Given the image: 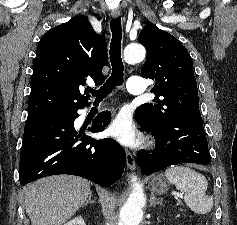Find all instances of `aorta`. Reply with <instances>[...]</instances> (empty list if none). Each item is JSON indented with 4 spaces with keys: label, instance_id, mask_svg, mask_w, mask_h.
I'll list each match as a JSON object with an SVG mask.
<instances>
[{
    "label": "aorta",
    "instance_id": "762f6f07",
    "mask_svg": "<svg viewBox=\"0 0 237 225\" xmlns=\"http://www.w3.org/2000/svg\"><path fill=\"white\" fill-rule=\"evenodd\" d=\"M145 55V48L139 44H130L124 49V58L130 64L142 62ZM130 180L133 191L121 208L119 214L120 225H139L143 216V207L145 205L143 186L138 182V178L135 175H132Z\"/></svg>",
    "mask_w": 237,
    "mask_h": 225
}]
</instances>
